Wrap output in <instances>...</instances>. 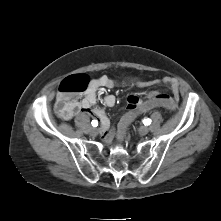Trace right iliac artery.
<instances>
[{"mask_svg":"<svg viewBox=\"0 0 221 221\" xmlns=\"http://www.w3.org/2000/svg\"><path fill=\"white\" fill-rule=\"evenodd\" d=\"M91 124H92L93 127H97L98 126V121L97 120H93L91 122Z\"/></svg>","mask_w":221,"mask_h":221,"instance_id":"obj_1","label":"right iliac artery"}]
</instances>
